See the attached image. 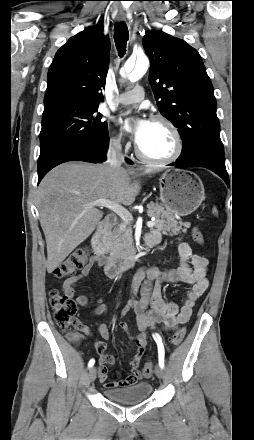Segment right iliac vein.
<instances>
[{
	"instance_id": "right-iliac-vein-1",
	"label": "right iliac vein",
	"mask_w": 254,
	"mask_h": 440,
	"mask_svg": "<svg viewBox=\"0 0 254 440\" xmlns=\"http://www.w3.org/2000/svg\"><path fill=\"white\" fill-rule=\"evenodd\" d=\"M97 370L95 367H91L89 369L88 378L90 382H93L96 379Z\"/></svg>"
}]
</instances>
